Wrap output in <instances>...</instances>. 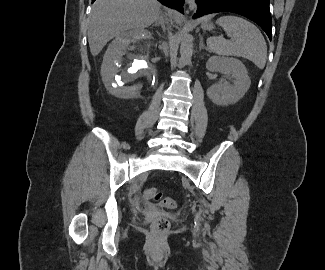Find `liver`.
Segmentation results:
<instances>
[{"instance_id": "liver-1", "label": "liver", "mask_w": 325, "mask_h": 270, "mask_svg": "<svg viewBox=\"0 0 325 270\" xmlns=\"http://www.w3.org/2000/svg\"><path fill=\"white\" fill-rule=\"evenodd\" d=\"M157 0H96L88 22L91 54L98 55L114 37L140 31L154 23L161 13ZM176 22L179 15L174 13Z\"/></svg>"}]
</instances>
